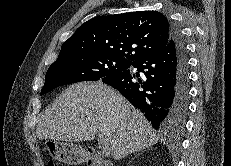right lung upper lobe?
Wrapping results in <instances>:
<instances>
[{
	"label": "right lung upper lobe",
	"instance_id": "right-lung-upper-lobe-1",
	"mask_svg": "<svg viewBox=\"0 0 231 166\" xmlns=\"http://www.w3.org/2000/svg\"><path fill=\"white\" fill-rule=\"evenodd\" d=\"M171 30V23L157 11L99 16L82 24L62 44L59 57L92 52L133 62L166 47Z\"/></svg>",
	"mask_w": 231,
	"mask_h": 166
}]
</instances>
